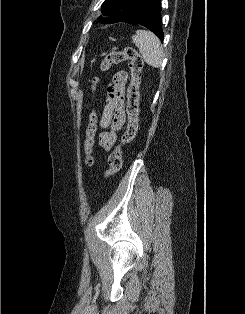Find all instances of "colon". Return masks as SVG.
<instances>
[{"label": "colon", "instance_id": "obj_1", "mask_svg": "<svg viewBox=\"0 0 245 314\" xmlns=\"http://www.w3.org/2000/svg\"><path fill=\"white\" fill-rule=\"evenodd\" d=\"M128 62L130 69V84L127 92V115L128 123L126 130L117 145L110 153L108 158V168L104 172V177L107 179L117 173L122 167V148L129 144L136 136L138 131V107H139V87L141 82L142 70L144 61L140 54L131 47L121 51L109 53L101 62L100 68L103 71H108L112 66L122 62ZM98 83V78L94 77L91 81V88L94 91ZM97 130V115L95 111H91L89 115V123L86 127V138L84 141L85 164L91 166L94 162L93 147L95 143V134Z\"/></svg>", "mask_w": 245, "mask_h": 314}]
</instances>
